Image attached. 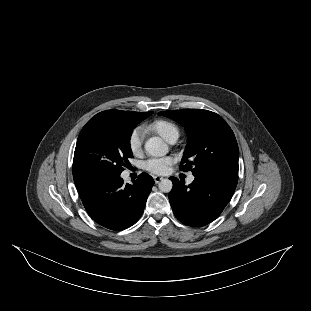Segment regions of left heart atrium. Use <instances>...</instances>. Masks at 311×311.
I'll use <instances>...</instances> for the list:
<instances>
[{
    "instance_id": "39dd6f15",
    "label": "left heart atrium",
    "mask_w": 311,
    "mask_h": 311,
    "mask_svg": "<svg viewBox=\"0 0 311 311\" xmlns=\"http://www.w3.org/2000/svg\"><path fill=\"white\" fill-rule=\"evenodd\" d=\"M176 162V157L150 158L143 162L142 168L148 173L155 175H166L171 166Z\"/></svg>"
}]
</instances>
